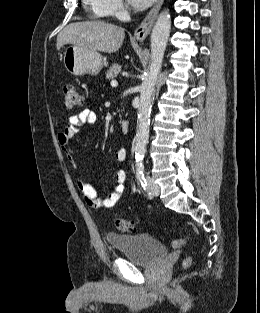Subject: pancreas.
I'll return each mask as SVG.
<instances>
[{
  "label": "pancreas",
  "mask_w": 260,
  "mask_h": 313,
  "mask_svg": "<svg viewBox=\"0 0 260 313\" xmlns=\"http://www.w3.org/2000/svg\"><path fill=\"white\" fill-rule=\"evenodd\" d=\"M122 69V66L119 64H113L106 72V79L111 80L118 76Z\"/></svg>",
  "instance_id": "pancreas-1"
}]
</instances>
